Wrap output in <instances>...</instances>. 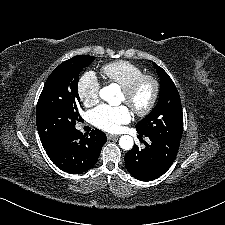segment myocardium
<instances>
[{
  "mask_svg": "<svg viewBox=\"0 0 225 225\" xmlns=\"http://www.w3.org/2000/svg\"><path fill=\"white\" fill-rule=\"evenodd\" d=\"M145 82H148L152 86V93L148 103L142 108H133L132 111L138 116H145L149 114L153 108L155 107L159 93H160V84L156 77L150 74H142L132 80L127 86L122 88V92L126 96V98L132 97L138 88Z\"/></svg>",
  "mask_w": 225,
  "mask_h": 225,
  "instance_id": "f54148a6",
  "label": "myocardium"
}]
</instances>
